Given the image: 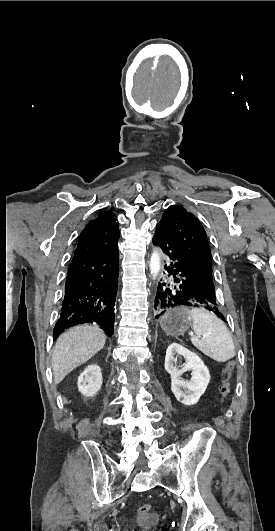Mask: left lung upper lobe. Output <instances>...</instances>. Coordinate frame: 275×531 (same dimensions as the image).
<instances>
[{
	"label": "left lung upper lobe",
	"instance_id": "1",
	"mask_svg": "<svg viewBox=\"0 0 275 531\" xmlns=\"http://www.w3.org/2000/svg\"><path fill=\"white\" fill-rule=\"evenodd\" d=\"M158 224L175 242L196 287L203 295L215 300L211 251L199 220L182 206L172 205L166 209Z\"/></svg>",
	"mask_w": 275,
	"mask_h": 531
}]
</instances>
